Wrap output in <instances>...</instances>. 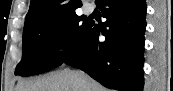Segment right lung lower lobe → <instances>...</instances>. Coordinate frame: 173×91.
Returning <instances> with one entry per match:
<instances>
[{
    "label": "right lung lower lobe",
    "instance_id": "98d812e1",
    "mask_svg": "<svg viewBox=\"0 0 173 91\" xmlns=\"http://www.w3.org/2000/svg\"><path fill=\"white\" fill-rule=\"evenodd\" d=\"M96 4L107 21L100 26L90 22L65 63L108 88L142 91L145 0H99ZM101 34L104 41L99 40Z\"/></svg>",
    "mask_w": 173,
    "mask_h": 91
}]
</instances>
